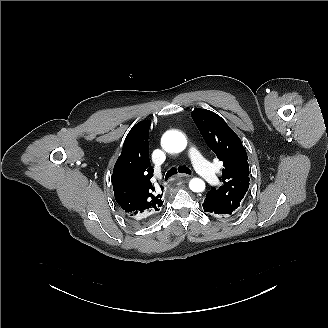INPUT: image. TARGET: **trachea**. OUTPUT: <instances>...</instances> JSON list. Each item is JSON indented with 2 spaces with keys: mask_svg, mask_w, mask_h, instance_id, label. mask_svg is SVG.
Returning a JSON list of instances; mask_svg holds the SVG:
<instances>
[{
  "mask_svg": "<svg viewBox=\"0 0 328 328\" xmlns=\"http://www.w3.org/2000/svg\"><path fill=\"white\" fill-rule=\"evenodd\" d=\"M178 172L184 174H192V171L186 166H179L178 169L171 168L165 175V181H167L171 176L177 174Z\"/></svg>",
  "mask_w": 328,
  "mask_h": 328,
  "instance_id": "obj_1",
  "label": "trachea"
}]
</instances>
